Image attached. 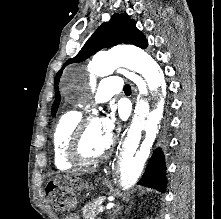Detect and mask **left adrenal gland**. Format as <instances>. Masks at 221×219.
Instances as JSON below:
<instances>
[{
  "label": "left adrenal gland",
  "mask_w": 221,
  "mask_h": 219,
  "mask_svg": "<svg viewBox=\"0 0 221 219\" xmlns=\"http://www.w3.org/2000/svg\"><path fill=\"white\" fill-rule=\"evenodd\" d=\"M121 210V207L118 205L116 210L114 211V214H116L117 212H119ZM113 219V218H112Z\"/></svg>",
  "instance_id": "1"
}]
</instances>
